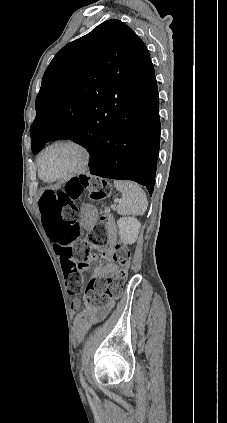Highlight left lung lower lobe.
<instances>
[{
	"mask_svg": "<svg viewBox=\"0 0 227 423\" xmlns=\"http://www.w3.org/2000/svg\"><path fill=\"white\" fill-rule=\"evenodd\" d=\"M156 79L139 112H108L97 131L76 140L91 154V174L132 180L153 193L160 145Z\"/></svg>",
	"mask_w": 227,
	"mask_h": 423,
	"instance_id": "1",
	"label": "left lung lower lobe"
}]
</instances>
